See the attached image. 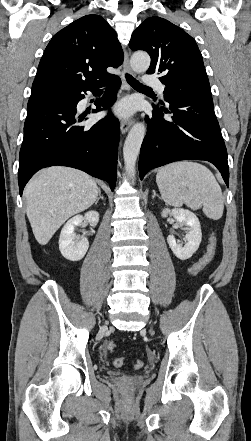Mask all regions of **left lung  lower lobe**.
Listing matches in <instances>:
<instances>
[{"label":"left lung lower lobe","mask_w":251,"mask_h":441,"mask_svg":"<svg viewBox=\"0 0 251 441\" xmlns=\"http://www.w3.org/2000/svg\"><path fill=\"white\" fill-rule=\"evenodd\" d=\"M169 108L152 104L153 117L146 116L147 134L143 140L139 173L141 180L156 167L186 160L213 163L229 185L227 151L214 113L211 95L193 94L168 99ZM166 114H171L169 117Z\"/></svg>","instance_id":"obj_1"}]
</instances>
